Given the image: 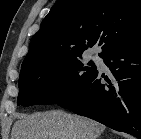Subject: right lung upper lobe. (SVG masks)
<instances>
[{
  "instance_id": "1",
  "label": "right lung upper lobe",
  "mask_w": 141,
  "mask_h": 139,
  "mask_svg": "<svg viewBox=\"0 0 141 139\" xmlns=\"http://www.w3.org/2000/svg\"><path fill=\"white\" fill-rule=\"evenodd\" d=\"M141 40V0H62L32 38L21 70L81 57L99 42L107 53Z\"/></svg>"
}]
</instances>
